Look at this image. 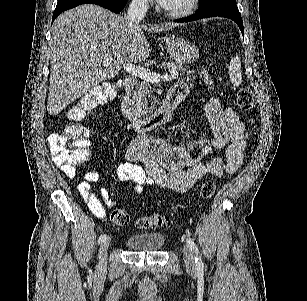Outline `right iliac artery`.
I'll list each match as a JSON object with an SVG mask.
<instances>
[{"label":"right iliac artery","mask_w":307,"mask_h":301,"mask_svg":"<svg viewBox=\"0 0 307 301\" xmlns=\"http://www.w3.org/2000/svg\"><path fill=\"white\" fill-rule=\"evenodd\" d=\"M106 238H107V235H106V234H102V235L99 237V239H98V243H99V244L102 243L104 240H106Z\"/></svg>","instance_id":"82829eb1"}]
</instances>
